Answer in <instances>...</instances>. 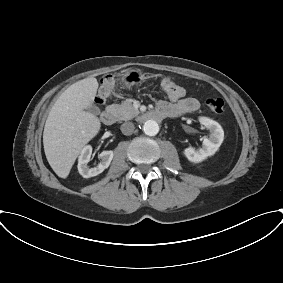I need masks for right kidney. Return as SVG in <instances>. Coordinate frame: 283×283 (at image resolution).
I'll use <instances>...</instances> for the list:
<instances>
[{"label": "right kidney", "mask_w": 283, "mask_h": 283, "mask_svg": "<svg viewBox=\"0 0 283 283\" xmlns=\"http://www.w3.org/2000/svg\"><path fill=\"white\" fill-rule=\"evenodd\" d=\"M92 154V147L90 145L85 146L78 159V171L83 178H90L102 173L106 168L109 167L114 153L113 151H103L99 155L101 162L93 168H89L88 163Z\"/></svg>", "instance_id": "right-kidney-1"}]
</instances>
